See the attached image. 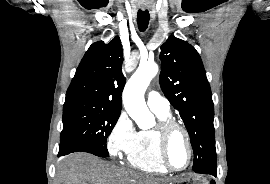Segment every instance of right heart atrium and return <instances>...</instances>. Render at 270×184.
I'll return each instance as SVG.
<instances>
[{
  "label": "right heart atrium",
  "mask_w": 270,
  "mask_h": 184,
  "mask_svg": "<svg viewBox=\"0 0 270 184\" xmlns=\"http://www.w3.org/2000/svg\"><path fill=\"white\" fill-rule=\"evenodd\" d=\"M133 121L126 112H121L108 134L106 148L112 157L127 155L137 137Z\"/></svg>",
  "instance_id": "obj_1"
}]
</instances>
